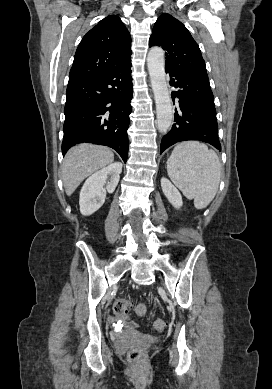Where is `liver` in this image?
<instances>
[{
	"mask_svg": "<svg viewBox=\"0 0 272 389\" xmlns=\"http://www.w3.org/2000/svg\"><path fill=\"white\" fill-rule=\"evenodd\" d=\"M113 161V152L104 146L84 143L71 148L62 164L66 194L70 196L85 178Z\"/></svg>",
	"mask_w": 272,
	"mask_h": 389,
	"instance_id": "obj_1",
	"label": "liver"
}]
</instances>
